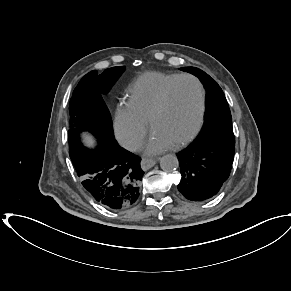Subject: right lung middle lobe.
Wrapping results in <instances>:
<instances>
[{
	"label": "right lung middle lobe",
	"mask_w": 291,
	"mask_h": 291,
	"mask_svg": "<svg viewBox=\"0 0 291 291\" xmlns=\"http://www.w3.org/2000/svg\"><path fill=\"white\" fill-rule=\"evenodd\" d=\"M123 71V67L106 69L100 75L96 70L91 71L75 88L69 104V153L82 146L79 136L81 132H88L96 139L113 137L111 116L102 94L109 91Z\"/></svg>",
	"instance_id": "right-lung-middle-lobe-1"
}]
</instances>
